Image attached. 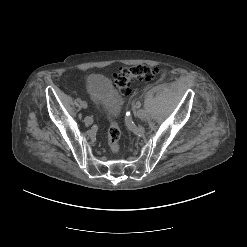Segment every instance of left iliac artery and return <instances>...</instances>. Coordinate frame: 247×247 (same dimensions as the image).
Instances as JSON below:
<instances>
[{
  "mask_svg": "<svg viewBox=\"0 0 247 247\" xmlns=\"http://www.w3.org/2000/svg\"><path fill=\"white\" fill-rule=\"evenodd\" d=\"M138 114H139V117H143V116L146 115V112H145L144 110L140 109V110L138 111Z\"/></svg>",
  "mask_w": 247,
  "mask_h": 247,
  "instance_id": "obj_1",
  "label": "left iliac artery"
}]
</instances>
